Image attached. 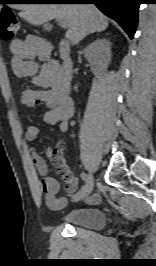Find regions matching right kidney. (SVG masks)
<instances>
[{
    "mask_svg": "<svg viewBox=\"0 0 156 266\" xmlns=\"http://www.w3.org/2000/svg\"><path fill=\"white\" fill-rule=\"evenodd\" d=\"M111 44L109 40L97 39L84 49L91 69L94 73L107 69L111 61Z\"/></svg>",
    "mask_w": 156,
    "mask_h": 266,
    "instance_id": "right-kidney-1",
    "label": "right kidney"
}]
</instances>
